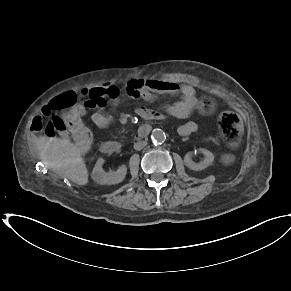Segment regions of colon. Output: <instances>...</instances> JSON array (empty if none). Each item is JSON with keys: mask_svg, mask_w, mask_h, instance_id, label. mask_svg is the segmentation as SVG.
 <instances>
[{"mask_svg": "<svg viewBox=\"0 0 291 291\" xmlns=\"http://www.w3.org/2000/svg\"><path fill=\"white\" fill-rule=\"evenodd\" d=\"M81 98L72 91H65L50 102L43 103L42 114L35 117L33 127L43 129L48 137H53L57 133L63 134L69 132L72 136L74 145L81 151L86 150L92 143V134L82 122L81 116L84 109L80 105ZM205 109H209L211 103L209 100L203 102ZM65 111L63 116H54L49 118L53 112ZM218 126L224 139L231 145L239 142L243 125L241 119L231 111H224L219 115ZM226 163H232L234 155L227 153L223 157Z\"/></svg>", "mask_w": 291, "mask_h": 291, "instance_id": "1", "label": "colon"}]
</instances>
